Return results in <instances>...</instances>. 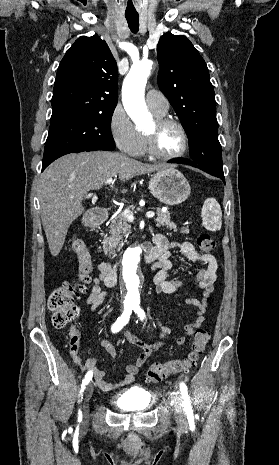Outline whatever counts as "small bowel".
Wrapping results in <instances>:
<instances>
[{"instance_id":"small-bowel-1","label":"small bowel","mask_w":279,"mask_h":465,"mask_svg":"<svg viewBox=\"0 0 279 465\" xmlns=\"http://www.w3.org/2000/svg\"><path fill=\"white\" fill-rule=\"evenodd\" d=\"M153 243L159 253L157 259L152 265V268L155 271L154 282L159 293L172 294L178 292L182 288V283L180 281L170 278V273L175 269V266L171 261V254L173 250H178L188 261L200 266L195 282L202 290V298L198 299L190 297L185 301L188 306H193L197 309V317L193 322L185 325L184 335L177 339V344L183 345L186 343L187 337L191 336L204 322L203 314L207 308L206 300L214 290L218 264L216 258L212 254L198 252L194 245L188 241L170 242L165 236L157 234L153 239ZM109 266L110 265L108 263L101 262L99 264L101 274L92 281L91 292L87 298V305L92 311L97 310V308L101 306L106 299V292L103 289V285H106L105 273ZM171 331L172 329L170 327L157 322V334L160 340L156 343H146L137 334L126 332V340L130 344L139 347L141 352L134 363L126 366L125 376L117 382H108L105 379L104 371L97 367L96 357H90L83 362L77 354H74V360L83 371L88 370V372H92L96 385L102 391L112 392L125 388L134 382L135 376L138 374L141 367L149 360L151 355L165 345ZM101 345L109 357L114 360L116 352L110 340L103 338L101 340Z\"/></svg>"}]
</instances>
